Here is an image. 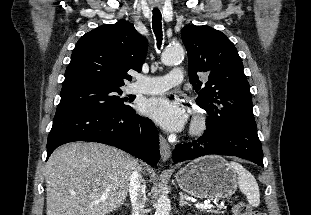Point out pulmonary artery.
I'll list each match as a JSON object with an SVG mask.
<instances>
[{"mask_svg": "<svg viewBox=\"0 0 311 215\" xmlns=\"http://www.w3.org/2000/svg\"><path fill=\"white\" fill-rule=\"evenodd\" d=\"M182 81L183 71L180 68H174L165 76H139L137 82L130 87V91L142 94H158L179 85Z\"/></svg>", "mask_w": 311, "mask_h": 215, "instance_id": "obj_1", "label": "pulmonary artery"}]
</instances>
